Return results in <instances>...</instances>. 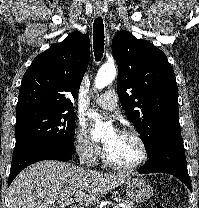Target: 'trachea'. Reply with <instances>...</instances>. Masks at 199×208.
<instances>
[{"instance_id": "obj_1", "label": "trachea", "mask_w": 199, "mask_h": 208, "mask_svg": "<svg viewBox=\"0 0 199 208\" xmlns=\"http://www.w3.org/2000/svg\"><path fill=\"white\" fill-rule=\"evenodd\" d=\"M93 48L95 60L100 61L104 52V25L101 17L96 18L93 23Z\"/></svg>"}]
</instances>
